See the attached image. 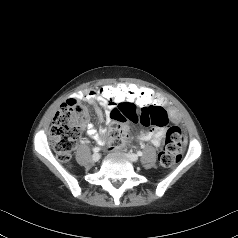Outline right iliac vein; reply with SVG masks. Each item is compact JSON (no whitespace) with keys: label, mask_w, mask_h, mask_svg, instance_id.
Here are the masks:
<instances>
[{"label":"right iliac vein","mask_w":238,"mask_h":238,"mask_svg":"<svg viewBox=\"0 0 238 238\" xmlns=\"http://www.w3.org/2000/svg\"><path fill=\"white\" fill-rule=\"evenodd\" d=\"M101 155L99 153H94L92 155V161L97 162L100 159Z\"/></svg>","instance_id":"1"}]
</instances>
